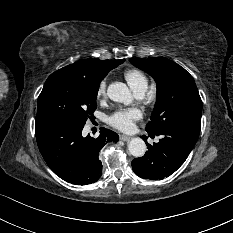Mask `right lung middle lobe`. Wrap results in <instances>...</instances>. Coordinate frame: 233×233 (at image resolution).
Masks as SVG:
<instances>
[{
  "instance_id": "1",
  "label": "right lung middle lobe",
  "mask_w": 233,
  "mask_h": 233,
  "mask_svg": "<svg viewBox=\"0 0 233 233\" xmlns=\"http://www.w3.org/2000/svg\"><path fill=\"white\" fill-rule=\"evenodd\" d=\"M107 73L96 79L62 69L51 74L38 97L36 122L85 125L96 110L99 84Z\"/></svg>"
}]
</instances>
